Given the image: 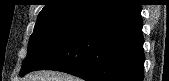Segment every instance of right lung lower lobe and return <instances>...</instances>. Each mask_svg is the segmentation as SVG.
I'll list each match as a JSON object with an SVG mask.
<instances>
[{"mask_svg": "<svg viewBox=\"0 0 169 81\" xmlns=\"http://www.w3.org/2000/svg\"><path fill=\"white\" fill-rule=\"evenodd\" d=\"M141 5L125 0L86 21L35 70H57L86 81H143Z\"/></svg>", "mask_w": 169, "mask_h": 81, "instance_id": "obj_1", "label": "right lung lower lobe"}]
</instances>
